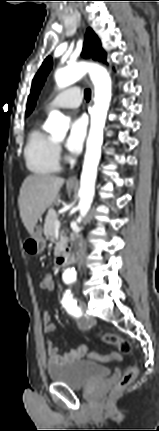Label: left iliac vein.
Instances as JSON below:
<instances>
[{
  "mask_svg": "<svg viewBox=\"0 0 159 431\" xmlns=\"http://www.w3.org/2000/svg\"><path fill=\"white\" fill-rule=\"evenodd\" d=\"M79 305H80V307H81V309H82L83 313H85V310H86V304H85V302H84V301H80V302H79Z\"/></svg>",
  "mask_w": 159,
  "mask_h": 431,
  "instance_id": "1",
  "label": "left iliac vein"
}]
</instances>
